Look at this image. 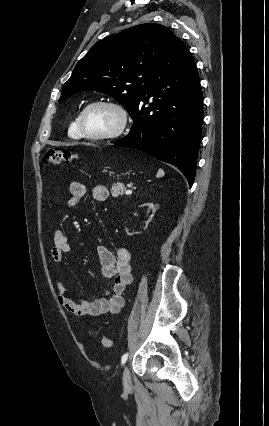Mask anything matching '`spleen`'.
I'll return each instance as SVG.
<instances>
[{
	"instance_id": "3e777b00",
	"label": "spleen",
	"mask_w": 269,
	"mask_h": 426,
	"mask_svg": "<svg viewBox=\"0 0 269 426\" xmlns=\"http://www.w3.org/2000/svg\"><path fill=\"white\" fill-rule=\"evenodd\" d=\"M165 175L164 171L162 169H159L157 172V178L163 177Z\"/></svg>"
}]
</instances>
